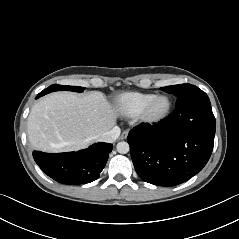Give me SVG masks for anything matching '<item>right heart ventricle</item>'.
<instances>
[{
  "mask_svg": "<svg viewBox=\"0 0 239 239\" xmlns=\"http://www.w3.org/2000/svg\"><path fill=\"white\" fill-rule=\"evenodd\" d=\"M153 96L152 93L130 91L120 94L115 100L117 110L129 117H134L139 114L145 103Z\"/></svg>",
  "mask_w": 239,
  "mask_h": 239,
  "instance_id": "1",
  "label": "right heart ventricle"
}]
</instances>
